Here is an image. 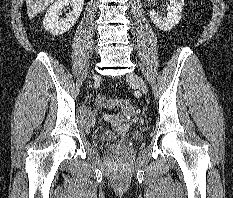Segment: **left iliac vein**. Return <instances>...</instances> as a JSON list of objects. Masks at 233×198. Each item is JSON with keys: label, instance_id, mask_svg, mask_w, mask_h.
Returning <instances> with one entry per match:
<instances>
[{"label": "left iliac vein", "instance_id": "left-iliac-vein-1", "mask_svg": "<svg viewBox=\"0 0 233 198\" xmlns=\"http://www.w3.org/2000/svg\"><path fill=\"white\" fill-rule=\"evenodd\" d=\"M127 81L134 85L138 90H140L144 95L147 93V87L143 79L135 74V73H130L127 75Z\"/></svg>", "mask_w": 233, "mask_h": 198}]
</instances>
